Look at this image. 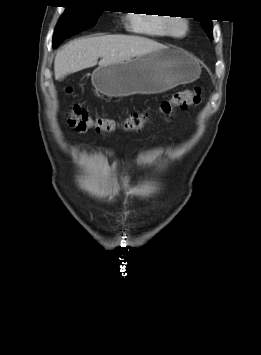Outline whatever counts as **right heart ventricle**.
<instances>
[{
    "label": "right heart ventricle",
    "instance_id": "right-heart-ventricle-1",
    "mask_svg": "<svg viewBox=\"0 0 261 355\" xmlns=\"http://www.w3.org/2000/svg\"><path fill=\"white\" fill-rule=\"evenodd\" d=\"M168 17L150 15L144 13L132 14L129 18L130 29L138 34L155 37L165 38L168 37L167 31Z\"/></svg>",
    "mask_w": 261,
    "mask_h": 355
}]
</instances>
